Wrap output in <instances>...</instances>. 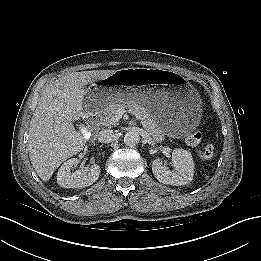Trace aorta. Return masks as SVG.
<instances>
[{
    "instance_id": "762f6f07",
    "label": "aorta",
    "mask_w": 261,
    "mask_h": 261,
    "mask_svg": "<svg viewBox=\"0 0 261 261\" xmlns=\"http://www.w3.org/2000/svg\"><path fill=\"white\" fill-rule=\"evenodd\" d=\"M140 141V134L136 130L128 131L124 136V144L129 147L136 146Z\"/></svg>"
}]
</instances>
